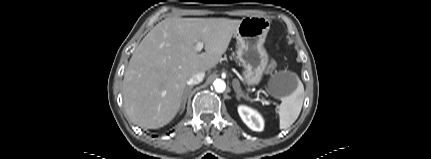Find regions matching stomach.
Listing matches in <instances>:
<instances>
[{"mask_svg":"<svg viewBox=\"0 0 431 159\" xmlns=\"http://www.w3.org/2000/svg\"><path fill=\"white\" fill-rule=\"evenodd\" d=\"M270 29V21L263 16H250L241 20L234 32L237 40V58L241 62L246 84L260 83L268 63L264 42ZM299 78L292 72H278L268 82L269 93L283 100L296 91Z\"/></svg>","mask_w":431,"mask_h":159,"instance_id":"stomach-1","label":"stomach"}]
</instances>
